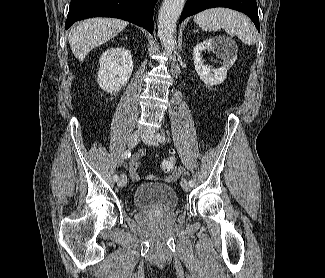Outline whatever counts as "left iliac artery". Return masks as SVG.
Here are the masks:
<instances>
[{"mask_svg": "<svg viewBox=\"0 0 325 278\" xmlns=\"http://www.w3.org/2000/svg\"><path fill=\"white\" fill-rule=\"evenodd\" d=\"M155 138H156L158 141H160V142H165V140H166L165 136L162 135V134H156V137H155ZM189 185H190L191 187H193L194 183H193L192 180H189Z\"/></svg>", "mask_w": 325, "mask_h": 278, "instance_id": "44dca946", "label": "left iliac artery"}]
</instances>
